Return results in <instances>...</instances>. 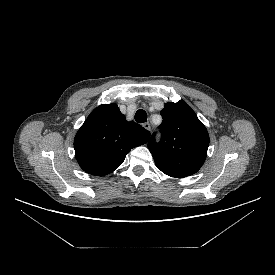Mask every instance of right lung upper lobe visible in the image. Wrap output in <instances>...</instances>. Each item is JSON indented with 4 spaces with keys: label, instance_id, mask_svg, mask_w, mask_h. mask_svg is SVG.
I'll use <instances>...</instances> for the list:
<instances>
[{
    "label": "right lung upper lobe",
    "instance_id": "1",
    "mask_svg": "<svg viewBox=\"0 0 275 275\" xmlns=\"http://www.w3.org/2000/svg\"><path fill=\"white\" fill-rule=\"evenodd\" d=\"M149 137L150 132L134 121L128 122L116 104H103L88 116L75 136L76 160L87 173L104 176Z\"/></svg>",
    "mask_w": 275,
    "mask_h": 275
}]
</instances>
